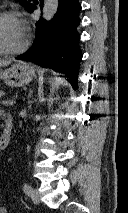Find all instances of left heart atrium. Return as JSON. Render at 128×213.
<instances>
[{
    "mask_svg": "<svg viewBox=\"0 0 128 213\" xmlns=\"http://www.w3.org/2000/svg\"><path fill=\"white\" fill-rule=\"evenodd\" d=\"M19 22H20V24H21L22 28L25 30V23H24V21L19 20Z\"/></svg>",
    "mask_w": 128,
    "mask_h": 213,
    "instance_id": "39dd6f15",
    "label": "left heart atrium"
}]
</instances>
